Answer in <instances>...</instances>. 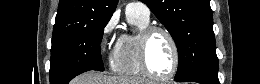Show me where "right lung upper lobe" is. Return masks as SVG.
Segmentation results:
<instances>
[{
  "label": "right lung upper lobe",
  "mask_w": 260,
  "mask_h": 84,
  "mask_svg": "<svg viewBox=\"0 0 260 84\" xmlns=\"http://www.w3.org/2000/svg\"><path fill=\"white\" fill-rule=\"evenodd\" d=\"M118 0H60L53 36L91 22L109 20Z\"/></svg>",
  "instance_id": "obj_1"
}]
</instances>
